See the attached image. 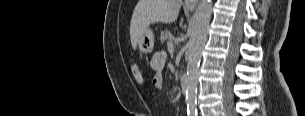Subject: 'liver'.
<instances>
[{
    "label": "liver",
    "mask_w": 305,
    "mask_h": 116,
    "mask_svg": "<svg viewBox=\"0 0 305 116\" xmlns=\"http://www.w3.org/2000/svg\"><path fill=\"white\" fill-rule=\"evenodd\" d=\"M182 0H139L130 23V39L135 50L140 37L150 24L176 21ZM181 19L180 26H182Z\"/></svg>",
    "instance_id": "6515ba94"
}]
</instances>
